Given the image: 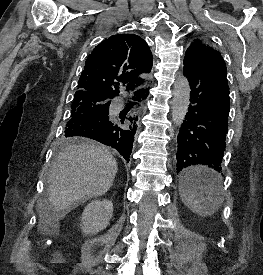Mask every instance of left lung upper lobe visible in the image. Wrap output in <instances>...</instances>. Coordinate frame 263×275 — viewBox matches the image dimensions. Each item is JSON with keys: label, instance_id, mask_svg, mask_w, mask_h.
<instances>
[{"label": "left lung upper lobe", "instance_id": "5c2ea615", "mask_svg": "<svg viewBox=\"0 0 263 275\" xmlns=\"http://www.w3.org/2000/svg\"><path fill=\"white\" fill-rule=\"evenodd\" d=\"M199 55L201 57H215L219 61L224 62L220 53L214 50L209 44L200 40H194L185 53V57L190 55Z\"/></svg>", "mask_w": 263, "mask_h": 275}]
</instances>
